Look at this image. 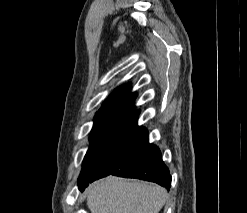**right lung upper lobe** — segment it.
Listing matches in <instances>:
<instances>
[{"instance_id": "cb5924a9", "label": "right lung upper lobe", "mask_w": 247, "mask_h": 213, "mask_svg": "<svg viewBox=\"0 0 247 213\" xmlns=\"http://www.w3.org/2000/svg\"><path fill=\"white\" fill-rule=\"evenodd\" d=\"M130 89L131 84L122 85L115 89L114 92L103 103L100 110L96 113V117L115 110L133 109L137 94L130 93Z\"/></svg>"}]
</instances>
